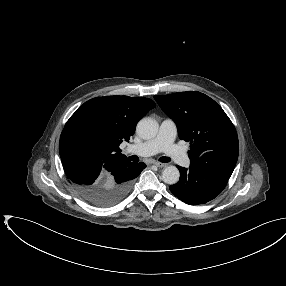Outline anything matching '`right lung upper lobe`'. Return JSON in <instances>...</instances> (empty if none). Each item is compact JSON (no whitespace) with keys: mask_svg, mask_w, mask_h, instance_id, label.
I'll return each instance as SVG.
<instances>
[{"mask_svg":"<svg viewBox=\"0 0 286 286\" xmlns=\"http://www.w3.org/2000/svg\"><path fill=\"white\" fill-rule=\"evenodd\" d=\"M156 104L148 98L128 96L96 97L81 105L64 130L82 135L105 162L128 160L119 145L128 141L138 121Z\"/></svg>","mask_w":286,"mask_h":286,"instance_id":"obj_1","label":"right lung upper lobe"}]
</instances>
